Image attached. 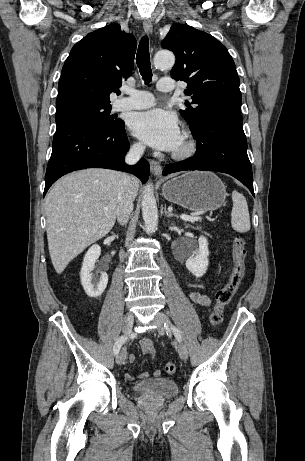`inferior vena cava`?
Wrapping results in <instances>:
<instances>
[{
	"mask_svg": "<svg viewBox=\"0 0 305 461\" xmlns=\"http://www.w3.org/2000/svg\"><path fill=\"white\" fill-rule=\"evenodd\" d=\"M144 145L134 144L131 146L129 152L125 157V162L127 164H135L144 153ZM131 177L127 174H122L119 185V193L117 200V210L116 215L119 223L124 225L129 220V215L133 211V201L134 196L130 188Z\"/></svg>",
	"mask_w": 305,
	"mask_h": 461,
	"instance_id": "obj_1",
	"label": "inferior vena cava"
}]
</instances>
